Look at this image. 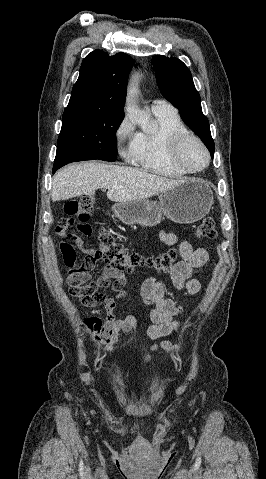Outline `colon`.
I'll use <instances>...</instances> for the list:
<instances>
[{"label": "colon", "mask_w": 266, "mask_h": 479, "mask_svg": "<svg viewBox=\"0 0 266 479\" xmlns=\"http://www.w3.org/2000/svg\"><path fill=\"white\" fill-rule=\"evenodd\" d=\"M95 204L96 201L92 195H84L68 200L64 206L65 216L59 221L57 233L65 238L69 236L75 237L70 234V230L75 228L83 235L91 234L92 228L88 221L95 208ZM196 234L202 239H214L217 235L214 219L211 217L204 218L197 227ZM98 244L104 260L111 268L119 272L130 273L144 263L142 257L130 252L108 231L99 233ZM60 252L65 263L73 272L69 281L71 294L84 299L90 306L102 304L106 299L103 289L111 285L110 281L105 277H101L96 281L86 282V274L89 271V267L86 264L88 258H83L79 262L75 247L68 241L61 242ZM150 263L159 271H170L177 263V253L174 249H170L156 259L151 260ZM111 287L120 289L121 282L116 280ZM154 350L176 352L179 350V347L170 342H162Z\"/></svg>", "instance_id": "1"}]
</instances>
